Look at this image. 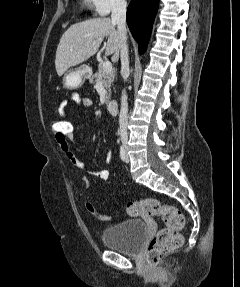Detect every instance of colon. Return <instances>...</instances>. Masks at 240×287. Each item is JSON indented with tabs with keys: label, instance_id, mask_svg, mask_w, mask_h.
<instances>
[{
	"label": "colon",
	"instance_id": "5ec220e1",
	"mask_svg": "<svg viewBox=\"0 0 240 287\" xmlns=\"http://www.w3.org/2000/svg\"><path fill=\"white\" fill-rule=\"evenodd\" d=\"M51 127L55 139L65 141L70 137L73 126L65 118H60L54 121ZM80 183L85 188L89 187L85 177L81 178ZM86 208L101 221L111 219L110 216L99 213L92 202H87ZM126 211L131 217L158 216L165 224V227L152 238L145 254L146 263L152 268H156L166 254L181 246L180 232L185 226V218L177 207L162 204L157 199L147 198L128 203Z\"/></svg>",
	"mask_w": 240,
	"mask_h": 287
}]
</instances>
